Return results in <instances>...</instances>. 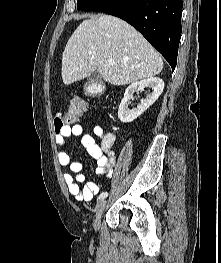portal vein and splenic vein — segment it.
<instances>
[{"label": "portal vein and splenic vein", "instance_id": "obj_1", "mask_svg": "<svg viewBox=\"0 0 221 263\" xmlns=\"http://www.w3.org/2000/svg\"><path fill=\"white\" fill-rule=\"evenodd\" d=\"M108 62H109V64H110V65H114V64H115V61H114V60H112V59H109V61H108Z\"/></svg>", "mask_w": 221, "mask_h": 263}]
</instances>
